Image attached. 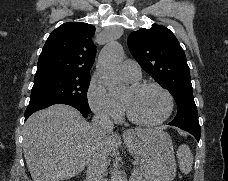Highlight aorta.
Returning <instances> with one entry per match:
<instances>
[{"label": "aorta", "mask_w": 228, "mask_h": 181, "mask_svg": "<svg viewBox=\"0 0 228 181\" xmlns=\"http://www.w3.org/2000/svg\"><path fill=\"white\" fill-rule=\"evenodd\" d=\"M123 55L122 46L117 41L112 40L104 46L98 57L97 71L112 96L122 94L128 86L119 72V65ZM118 180L119 177L116 174H112L111 181Z\"/></svg>", "instance_id": "aorta-1"}]
</instances>
